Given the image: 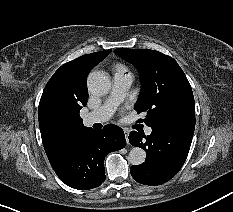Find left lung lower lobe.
I'll list each match as a JSON object with an SVG mask.
<instances>
[{
	"label": "left lung lower lobe",
	"instance_id": "1",
	"mask_svg": "<svg viewBox=\"0 0 233 212\" xmlns=\"http://www.w3.org/2000/svg\"><path fill=\"white\" fill-rule=\"evenodd\" d=\"M193 133L152 129L149 136L132 131L129 141L146 151V160L131 166L134 180L145 185H160L174 177L183 166L190 150Z\"/></svg>",
	"mask_w": 233,
	"mask_h": 212
}]
</instances>
